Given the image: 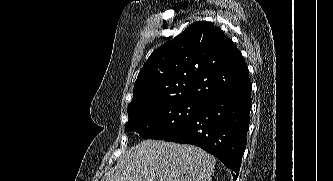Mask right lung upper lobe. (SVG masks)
Masks as SVG:
<instances>
[{
    "label": "right lung upper lobe",
    "mask_w": 333,
    "mask_h": 181,
    "mask_svg": "<svg viewBox=\"0 0 333 181\" xmlns=\"http://www.w3.org/2000/svg\"><path fill=\"white\" fill-rule=\"evenodd\" d=\"M249 82L248 67L232 40L199 21L150 55L136 79L128 113L162 101L202 103Z\"/></svg>",
    "instance_id": "cb5924a9"
}]
</instances>
